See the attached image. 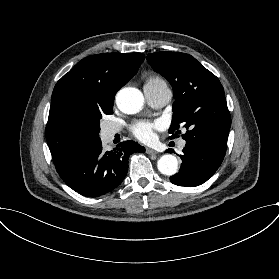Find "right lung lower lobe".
<instances>
[{
    "mask_svg": "<svg viewBox=\"0 0 279 279\" xmlns=\"http://www.w3.org/2000/svg\"><path fill=\"white\" fill-rule=\"evenodd\" d=\"M118 146L113 151L103 153L100 141L57 172L79 194L99 197L122 183L128 171L130 154L145 151L144 147L131 140L121 142Z\"/></svg>",
    "mask_w": 279,
    "mask_h": 279,
    "instance_id": "98d812e1",
    "label": "right lung lower lobe"
}]
</instances>
